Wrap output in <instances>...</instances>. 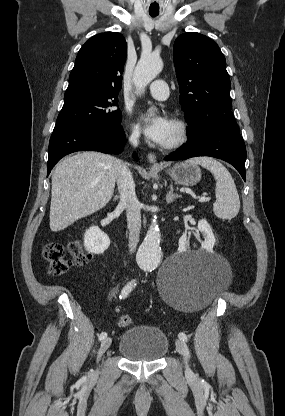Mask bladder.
I'll return each mask as SVG.
<instances>
[{"mask_svg":"<svg viewBox=\"0 0 285 416\" xmlns=\"http://www.w3.org/2000/svg\"><path fill=\"white\" fill-rule=\"evenodd\" d=\"M168 337L152 325H137L123 332L118 342L120 355L133 362H156L168 353Z\"/></svg>","mask_w":285,"mask_h":416,"instance_id":"1","label":"bladder"}]
</instances>
